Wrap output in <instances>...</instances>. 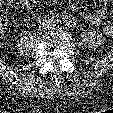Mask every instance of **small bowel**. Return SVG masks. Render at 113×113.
Here are the masks:
<instances>
[{"mask_svg":"<svg viewBox=\"0 0 113 113\" xmlns=\"http://www.w3.org/2000/svg\"><path fill=\"white\" fill-rule=\"evenodd\" d=\"M26 1V0H25ZM37 1H26L27 6H32L36 4ZM102 6H105L106 3L110 0H98ZM113 1V0H112ZM74 10H77L76 7L73 8ZM90 21L92 24L98 26L99 31L101 34L107 35V36H113V21L109 23H105V14H104V8L97 10L94 14L91 15Z\"/></svg>","mask_w":113,"mask_h":113,"instance_id":"c3829d8e","label":"small bowel"}]
</instances>
